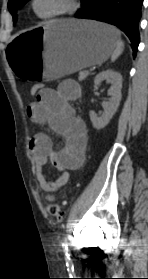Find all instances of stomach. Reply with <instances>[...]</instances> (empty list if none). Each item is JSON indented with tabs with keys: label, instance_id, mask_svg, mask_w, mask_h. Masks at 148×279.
I'll use <instances>...</instances> for the list:
<instances>
[{
	"label": "stomach",
	"instance_id": "stomach-1",
	"mask_svg": "<svg viewBox=\"0 0 148 279\" xmlns=\"http://www.w3.org/2000/svg\"><path fill=\"white\" fill-rule=\"evenodd\" d=\"M119 40L112 26L94 21L58 20L16 35L6 59L16 82L55 79L108 59Z\"/></svg>",
	"mask_w": 148,
	"mask_h": 279
}]
</instances>
